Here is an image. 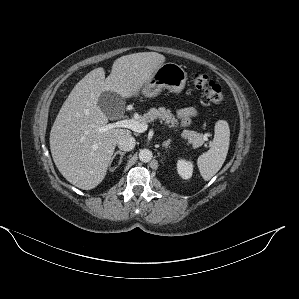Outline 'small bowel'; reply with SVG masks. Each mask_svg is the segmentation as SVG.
Masks as SVG:
<instances>
[{"mask_svg": "<svg viewBox=\"0 0 299 299\" xmlns=\"http://www.w3.org/2000/svg\"><path fill=\"white\" fill-rule=\"evenodd\" d=\"M197 115V111L193 107H184L177 112V117L182 126L190 124L191 120Z\"/></svg>", "mask_w": 299, "mask_h": 299, "instance_id": "1", "label": "small bowel"}]
</instances>
